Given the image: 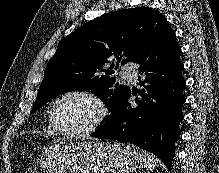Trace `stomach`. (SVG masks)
<instances>
[{"label":"stomach","instance_id":"stomach-1","mask_svg":"<svg viewBox=\"0 0 219 173\" xmlns=\"http://www.w3.org/2000/svg\"><path fill=\"white\" fill-rule=\"evenodd\" d=\"M40 164L48 173H133L139 155L120 142H55L43 149Z\"/></svg>","mask_w":219,"mask_h":173}]
</instances>
